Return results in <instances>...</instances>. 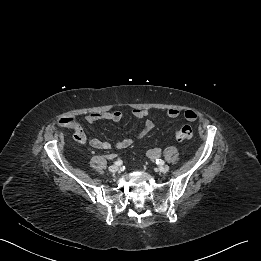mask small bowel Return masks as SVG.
I'll return each mask as SVG.
<instances>
[{
    "mask_svg": "<svg viewBox=\"0 0 261 261\" xmlns=\"http://www.w3.org/2000/svg\"><path fill=\"white\" fill-rule=\"evenodd\" d=\"M164 114L169 118H177L181 112L176 108H169L164 111ZM133 117L144 120L143 128L137 133L136 139L140 140L145 138L148 134H150L155 125L152 120L148 118L149 112L146 109H134L132 111ZM184 118L187 121L193 122L197 119V114L193 110H185L183 113ZM123 118V113L119 110L114 111H101L90 113L85 117V120L88 124H93L98 121H111V122H120ZM69 129L73 130V139L79 144L88 143L91 147L100 150H108L111 148V145L107 141H103L99 138H91L89 139L87 134L85 133L82 125L77 121L72 119V122L66 125ZM134 143V139L125 138L116 143V148L118 149H126L130 147ZM159 152L157 150H152L149 152L150 157L158 156Z\"/></svg>",
    "mask_w": 261,
    "mask_h": 261,
    "instance_id": "c3829d8e",
    "label": "small bowel"
}]
</instances>
